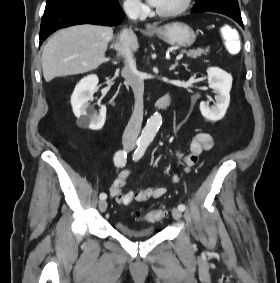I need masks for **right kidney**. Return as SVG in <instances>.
Returning <instances> with one entry per match:
<instances>
[{"mask_svg": "<svg viewBox=\"0 0 280 283\" xmlns=\"http://www.w3.org/2000/svg\"><path fill=\"white\" fill-rule=\"evenodd\" d=\"M99 80L97 75L91 74L84 77L75 87L71 96V105L74 115L78 118L77 124L83 128L91 130H100L106 120V107L97 102L99 105V114L90 106V101H93L94 93Z\"/></svg>", "mask_w": 280, "mask_h": 283, "instance_id": "1", "label": "right kidney"}]
</instances>
